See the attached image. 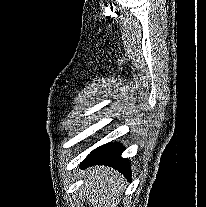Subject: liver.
<instances>
[{
	"label": "liver",
	"mask_w": 206,
	"mask_h": 207,
	"mask_svg": "<svg viewBox=\"0 0 206 207\" xmlns=\"http://www.w3.org/2000/svg\"><path fill=\"white\" fill-rule=\"evenodd\" d=\"M83 177L81 194L93 207H115L120 202L125 180L116 170L91 167L84 172Z\"/></svg>",
	"instance_id": "liver-1"
}]
</instances>
